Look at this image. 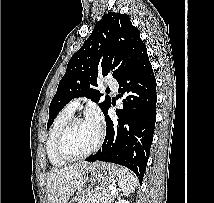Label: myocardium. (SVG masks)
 <instances>
[{"mask_svg": "<svg viewBox=\"0 0 214 203\" xmlns=\"http://www.w3.org/2000/svg\"><path fill=\"white\" fill-rule=\"evenodd\" d=\"M84 120H86V118L81 117V116L72 117L63 126V128L60 130V132L57 136L56 153L62 160L66 161V162H74V161L82 160V159H85V158L91 156L99 149V147L101 146V144L104 140V131L99 126L98 127V129H99L98 138L90 150H88L87 152H85L81 155H77V156H69L68 154H66L64 151V141H65L66 136L68 135L69 131L74 127V125H76L77 123L84 121Z\"/></svg>", "mask_w": 214, "mask_h": 203, "instance_id": "obj_1", "label": "myocardium"}]
</instances>
